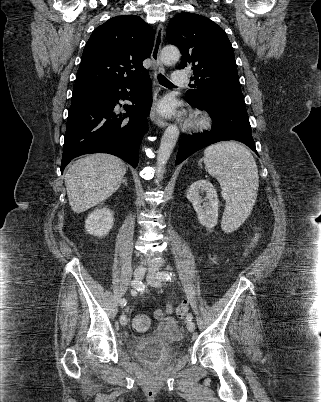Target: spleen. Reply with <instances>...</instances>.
<instances>
[{"mask_svg":"<svg viewBox=\"0 0 321 402\" xmlns=\"http://www.w3.org/2000/svg\"><path fill=\"white\" fill-rule=\"evenodd\" d=\"M208 173L221 186L226 201L222 229L234 231L250 214L259 187L258 168L246 147L234 141L213 144L204 151Z\"/></svg>","mask_w":321,"mask_h":402,"instance_id":"spleen-1","label":"spleen"}]
</instances>
